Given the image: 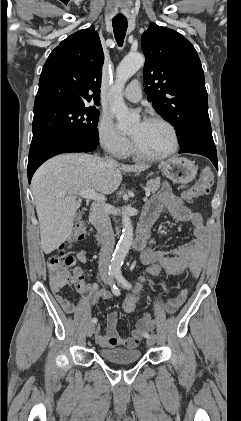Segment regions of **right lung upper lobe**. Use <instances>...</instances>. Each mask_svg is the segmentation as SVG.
Segmentation results:
<instances>
[{
	"mask_svg": "<svg viewBox=\"0 0 241 421\" xmlns=\"http://www.w3.org/2000/svg\"><path fill=\"white\" fill-rule=\"evenodd\" d=\"M104 54L97 32L83 29L62 41L43 66L34 108L99 101Z\"/></svg>",
	"mask_w": 241,
	"mask_h": 421,
	"instance_id": "cb5924a9",
	"label": "right lung upper lobe"
}]
</instances>
